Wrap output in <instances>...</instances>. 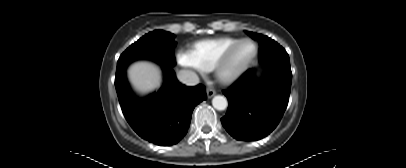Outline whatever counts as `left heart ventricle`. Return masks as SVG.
<instances>
[{
  "mask_svg": "<svg viewBox=\"0 0 406 168\" xmlns=\"http://www.w3.org/2000/svg\"><path fill=\"white\" fill-rule=\"evenodd\" d=\"M253 51L254 47L250 43L240 45L230 62V69L237 68L243 64L252 55Z\"/></svg>",
  "mask_w": 406,
  "mask_h": 168,
  "instance_id": "1",
  "label": "left heart ventricle"
}]
</instances>
